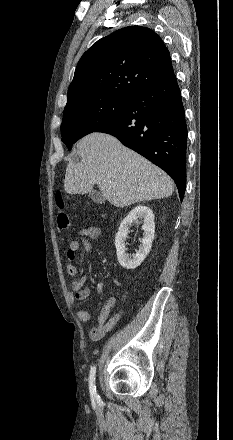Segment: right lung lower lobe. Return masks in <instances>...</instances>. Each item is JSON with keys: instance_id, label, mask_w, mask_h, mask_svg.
Masks as SVG:
<instances>
[{"instance_id": "obj_1", "label": "right lung lower lobe", "mask_w": 233, "mask_h": 440, "mask_svg": "<svg viewBox=\"0 0 233 440\" xmlns=\"http://www.w3.org/2000/svg\"><path fill=\"white\" fill-rule=\"evenodd\" d=\"M96 132L115 136L166 171L174 179L182 201L186 187L187 127L174 74L135 93L124 111Z\"/></svg>"}]
</instances>
